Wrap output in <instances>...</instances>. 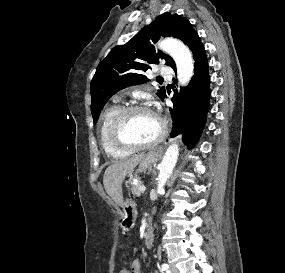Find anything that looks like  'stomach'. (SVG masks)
<instances>
[{
    "mask_svg": "<svg viewBox=\"0 0 285 273\" xmlns=\"http://www.w3.org/2000/svg\"><path fill=\"white\" fill-rule=\"evenodd\" d=\"M158 159H159V151L158 150L148 152L144 156V158L140 161V164H139L137 171L138 172L145 171L147 168H149L154 163H156L158 161ZM123 209H124V213H125L123 222L134 221L136 218V215H137L135 203L130 199H126L124 201ZM124 226H127V224Z\"/></svg>",
    "mask_w": 285,
    "mask_h": 273,
    "instance_id": "stomach-1",
    "label": "stomach"
}]
</instances>
